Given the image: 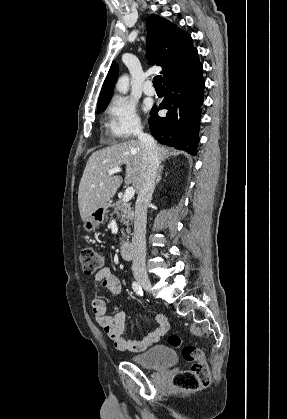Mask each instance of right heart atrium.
I'll return each instance as SVG.
<instances>
[{
    "instance_id": "d8ad5b80",
    "label": "right heart atrium",
    "mask_w": 287,
    "mask_h": 419,
    "mask_svg": "<svg viewBox=\"0 0 287 419\" xmlns=\"http://www.w3.org/2000/svg\"><path fill=\"white\" fill-rule=\"evenodd\" d=\"M108 131L115 138H129L139 133L141 121L134 103L124 97H114L108 107Z\"/></svg>"
}]
</instances>
